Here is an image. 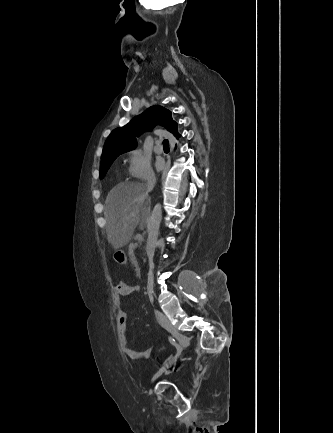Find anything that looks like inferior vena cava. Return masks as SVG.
<instances>
[{
	"instance_id": "inferior-vena-cava-1",
	"label": "inferior vena cava",
	"mask_w": 333,
	"mask_h": 433,
	"mask_svg": "<svg viewBox=\"0 0 333 433\" xmlns=\"http://www.w3.org/2000/svg\"><path fill=\"white\" fill-rule=\"evenodd\" d=\"M155 184H156V177H155V175H154L153 172H149L148 176H147V184H146L147 185V189L149 191L153 190ZM155 316H156V319H157L158 322H162V321H166L167 320L166 317H165V315L162 312L158 311V310H155Z\"/></svg>"
}]
</instances>
